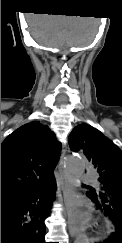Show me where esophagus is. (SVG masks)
I'll list each match as a JSON object with an SVG mask.
<instances>
[{
    "mask_svg": "<svg viewBox=\"0 0 122 243\" xmlns=\"http://www.w3.org/2000/svg\"><path fill=\"white\" fill-rule=\"evenodd\" d=\"M66 149H67V146L63 145L62 154H61L58 168H59L60 176L63 180L62 192H63V201H64V206H65V215L67 217L68 231H69L70 235L72 237H74L78 232V228H77L76 220L74 217V207L71 204L73 191L71 189L70 183L63 170V159H64Z\"/></svg>",
    "mask_w": 122,
    "mask_h": 243,
    "instance_id": "obj_1",
    "label": "esophagus"
}]
</instances>
